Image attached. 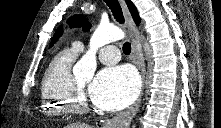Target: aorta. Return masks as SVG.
<instances>
[{"label": "aorta", "instance_id": "aorta-1", "mask_svg": "<svg viewBox=\"0 0 221 128\" xmlns=\"http://www.w3.org/2000/svg\"><path fill=\"white\" fill-rule=\"evenodd\" d=\"M125 37L124 32L112 25H100L93 33L90 39L88 51L76 63L73 73L76 76L83 77L85 80H91L96 70V52L97 50L111 42L119 41Z\"/></svg>", "mask_w": 221, "mask_h": 128}]
</instances>
